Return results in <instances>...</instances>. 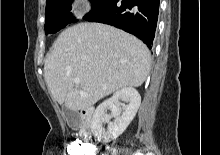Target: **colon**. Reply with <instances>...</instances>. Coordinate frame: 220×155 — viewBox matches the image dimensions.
Listing matches in <instances>:
<instances>
[{"instance_id": "obj_1", "label": "colon", "mask_w": 220, "mask_h": 155, "mask_svg": "<svg viewBox=\"0 0 220 155\" xmlns=\"http://www.w3.org/2000/svg\"><path fill=\"white\" fill-rule=\"evenodd\" d=\"M68 149L70 155H93V143H81L78 139L71 140Z\"/></svg>"}]
</instances>
